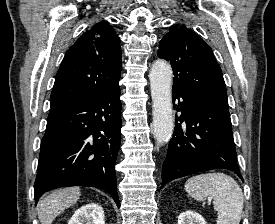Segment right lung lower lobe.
<instances>
[{
  "instance_id": "98d812e1",
  "label": "right lung lower lobe",
  "mask_w": 275,
  "mask_h": 224,
  "mask_svg": "<svg viewBox=\"0 0 275 224\" xmlns=\"http://www.w3.org/2000/svg\"><path fill=\"white\" fill-rule=\"evenodd\" d=\"M120 88L50 109L41 140L35 203L46 191L67 186L108 191L117 206L115 162L121 142Z\"/></svg>"
}]
</instances>
